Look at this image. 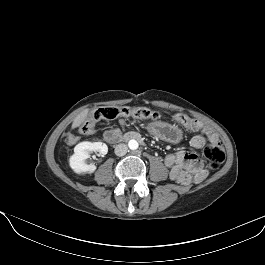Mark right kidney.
<instances>
[{
  "label": "right kidney",
  "mask_w": 265,
  "mask_h": 265,
  "mask_svg": "<svg viewBox=\"0 0 265 265\" xmlns=\"http://www.w3.org/2000/svg\"><path fill=\"white\" fill-rule=\"evenodd\" d=\"M99 152L101 155H106L108 147L101 142H81L74 148V154L69 159L71 169L76 174L93 173L96 166L86 164V159L90 158V152Z\"/></svg>",
  "instance_id": "ca27d5eb"
}]
</instances>
